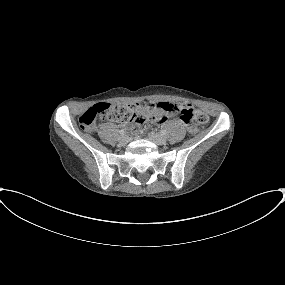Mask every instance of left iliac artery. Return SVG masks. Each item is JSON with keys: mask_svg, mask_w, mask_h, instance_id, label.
I'll return each instance as SVG.
<instances>
[{"mask_svg": "<svg viewBox=\"0 0 285 285\" xmlns=\"http://www.w3.org/2000/svg\"><path fill=\"white\" fill-rule=\"evenodd\" d=\"M160 133H161V135H166V130L162 129V130L160 131Z\"/></svg>", "mask_w": 285, "mask_h": 285, "instance_id": "obj_1", "label": "left iliac artery"}]
</instances>
